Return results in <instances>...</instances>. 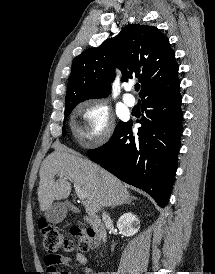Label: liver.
I'll return each instance as SVG.
<instances>
[{"label":"liver","instance_id":"obj_1","mask_svg":"<svg viewBox=\"0 0 215 274\" xmlns=\"http://www.w3.org/2000/svg\"><path fill=\"white\" fill-rule=\"evenodd\" d=\"M57 174H60V179L55 181ZM39 177L38 201L42 211H46L55 200L70 195L68 179L85 191L84 206L89 216H94L102 207L130 201V194L119 179L67 148H57L44 159Z\"/></svg>","mask_w":215,"mask_h":274}]
</instances>
